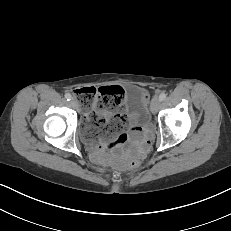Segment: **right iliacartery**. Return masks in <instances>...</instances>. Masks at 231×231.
Instances as JSON below:
<instances>
[{"mask_svg":"<svg viewBox=\"0 0 231 231\" xmlns=\"http://www.w3.org/2000/svg\"><path fill=\"white\" fill-rule=\"evenodd\" d=\"M65 98L67 99V101H70L72 99V96L70 93H66Z\"/></svg>","mask_w":231,"mask_h":231,"instance_id":"82829eb1","label":"right iliac artery"}]
</instances>
